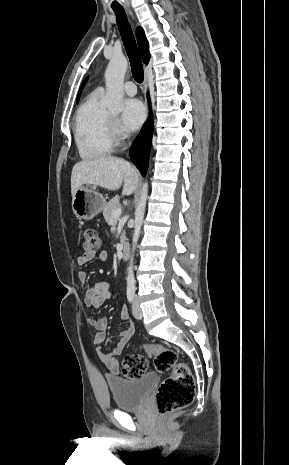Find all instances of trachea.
Listing matches in <instances>:
<instances>
[{
  "label": "trachea",
  "mask_w": 289,
  "mask_h": 465,
  "mask_svg": "<svg viewBox=\"0 0 289 465\" xmlns=\"http://www.w3.org/2000/svg\"><path fill=\"white\" fill-rule=\"evenodd\" d=\"M114 12L117 18L118 29L130 60L132 76L137 83H142L144 79L143 66L131 26L124 9H114Z\"/></svg>",
  "instance_id": "trachea-1"
}]
</instances>
